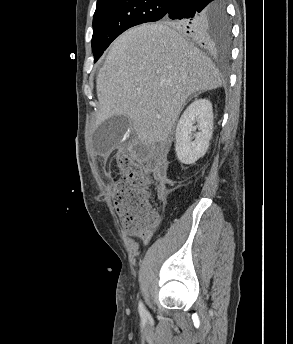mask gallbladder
Masks as SVG:
<instances>
[{"label": "gallbladder", "mask_w": 293, "mask_h": 344, "mask_svg": "<svg viewBox=\"0 0 293 344\" xmlns=\"http://www.w3.org/2000/svg\"><path fill=\"white\" fill-rule=\"evenodd\" d=\"M131 120L123 115H114L103 121L93 134V147L99 154L111 152L129 129Z\"/></svg>", "instance_id": "gallbladder-1"}]
</instances>
